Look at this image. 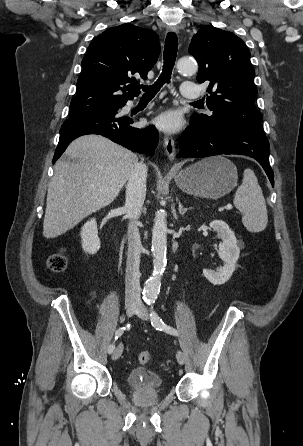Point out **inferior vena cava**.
I'll list each match as a JSON object with an SVG mask.
<instances>
[{
    "mask_svg": "<svg viewBox=\"0 0 303 446\" xmlns=\"http://www.w3.org/2000/svg\"><path fill=\"white\" fill-rule=\"evenodd\" d=\"M147 167L137 163L129 176L126 186L125 209L129 218L128 225V253L126 266L125 300L127 302L140 301V256L143 250L137 220L141 215L146 196Z\"/></svg>",
    "mask_w": 303,
    "mask_h": 446,
    "instance_id": "obj_1",
    "label": "inferior vena cava"
}]
</instances>
